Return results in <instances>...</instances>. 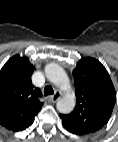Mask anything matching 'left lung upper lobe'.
<instances>
[{
	"mask_svg": "<svg viewBox=\"0 0 118 142\" xmlns=\"http://www.w3.org/2000/svg\"><path fill=\"white\" fill-rule=\"evenodd\" d=\"M76 107L62 122L84 134L101 129L110 119L116 102V92L105 67L96 59H81L73 70Z\"/></svg>",
	"mask_w": 118,
	"mask_h": 142,
	"instance_id": "1",
	"label": "left lung upper lobe"
}]
</instances>
